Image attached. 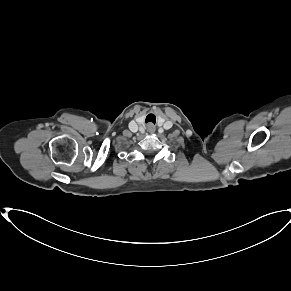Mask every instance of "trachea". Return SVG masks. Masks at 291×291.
<instances>
[{
	"label": "trachea",
	"instance_id": "3493384b",
	"mask_svg": "<svg viewBox=\"0 0 291 291\" xmlns=\"http://www.w3.org/2000/svg\"><path fill=\"white\" fill-rule=\"evenodd\" d=\"M149 117H153V118L155 119V116H154L153 114H149V115L147 116V118H146V122H148L147 120H148Z\"/></svg>",
	"mask_w": 291,
	"mask_h": 291
}]
</instances>
